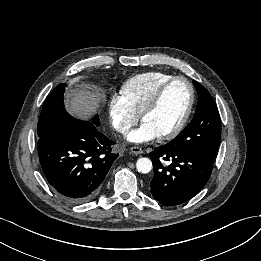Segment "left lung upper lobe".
Wrapping results in <instances>:
<instances>
[{
	"label": "left lung upper lobe",
	"mask_w": 261,
	"mask_h": 261,
	"mask_svg": "<svg viewBox=\"0 0 261 261\" xmlns=\"http://www.w3.org/2000/svg\"><path fill=\"white\" fill-rule=\"evenodd\" d=\"M198 105L190 124L170 143L179 144L195 153L215 159L221 138V119L210 93L197 81Z\"/></svg>",
	"instance_id": "5c2ea615"
}]
</instances>
